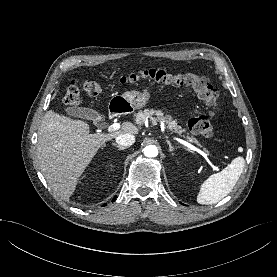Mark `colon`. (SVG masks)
Returning <instances> with one entry per match:
<instances>
[{
    "label": "colon",
    "mask_w": 277,
    "mask_h": 277,
    "mask_svg": "<svg viewBox=\"0 0 277 277\" xmlns=\"http://www.w3.org/2000/svg\"><path fill=\"white\" fill-rule=\"evenodd\" d=\"M141 80H152L161 84L186 86L205 105L210 108L207 114H201L191 118L188 122L192 133L211 137L215 134V128L211 123V118L215 115L219 106V92L205 78L195 73L175 74L162 68L142 70L137 73L122 75L117 80L118 85L136 83ZM83 90L90 96H97L102 91V86L93 81L83 84ZM80 100V87L76 81H71L64 95V103L69 107H75Z\"/></svg>",
    "instance_id": "1"
}]
</instances>
